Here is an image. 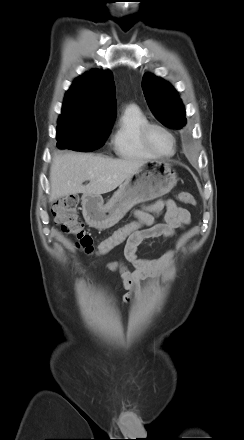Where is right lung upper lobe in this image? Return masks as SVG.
<instances>
[{
    "mask_svg": "<svg viewBox=\"0 0 244 440\" xmlns=\"http://www.w3.org/2000/svg\"><path fill=\"white\" fill-rule=\"evenodd\" d=\"M115 84L110 71L91 70L78 77L67 91L58 122L66 120L113 123Z\"/></svg>",
    "mask_w": 244,
    "mask_h": 440,
    "instance_id": "1",
    "label": "right lung upper lobe"
}]
</instances>
